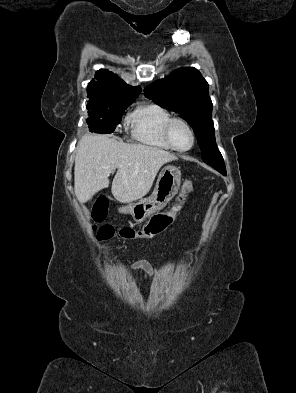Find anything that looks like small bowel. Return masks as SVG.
Returning a JSON list of instances; mask_svg holds the SVG:
<instances>
[{"instance_id": "1", "label": "small bowel", "mask_w": 296, "mask_h": 393, "mask_svg": "<svg viewBox=\"0 0 296 393\" xmlns=\"http://www.w3.org/2000/svg\"><path fill=\"white\" fill-rule=\"evenodd\" d=\"M141 270L144 271L150 278H155L158 275V270L156 266L149 260L138 259L133 261L127 271Z\"/></svg>"}]
</instances>
